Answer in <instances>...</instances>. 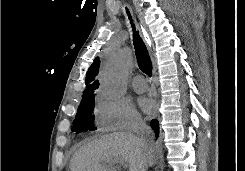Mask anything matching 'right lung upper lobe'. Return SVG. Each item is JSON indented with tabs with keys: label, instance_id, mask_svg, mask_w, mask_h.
Returning a JSON list of instances; mask_svg holds the SVG:
<instances>
[{
	"label": "right lung upper lobe",
	"instance_id": "right-lung-upper-lobe-1",
	"mask_svg": "<svg viewBox=\"0 0 245 171\" xmlns=\"http://www.w3.org/2000/svg\"><path fill=\"white\" fill-rule=\"evenodd\" d=\"M99 71V58H96L93 64L89 67L86 74V89L83 91L82 98H86L88 96H94V91L99 87L98 80L95 79Z\"/></svg>",
	"mask_w": 245,
	"mask_h": 171
}]
</instances>
